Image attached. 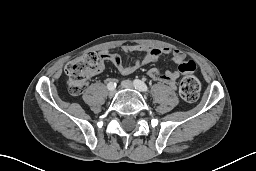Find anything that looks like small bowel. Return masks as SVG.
<instances>
[{"label":"small bowel","mask_w":256,"mask_h":171,"mask_svg":"<svg viewBox=\"0 0 256 171\" xmlns=\"http://www.w3.org/2000/svg\"><path fill=\"white\" fill-rule=\"evenodd\" d=\"M122 50L125 53H142L143 57L137 58L130 65H124L121 58L116 54H110L108 51L104 50L101 51L99 55L103 63H112L122 74L133 73L144 65L156 62L160 56L167 55L173 62L178 64L179 67L177 70L160 71L158 69H150L147 74L151 79L164 83L172 89H176L177 81L182 75L180 66L185 61V54L183 52L168 47L146 46L140 44H125L122 46ZM102 67L103 64L97 71H100Z\"/></svg>","instance_id":"c3829d8e"}]
</instances>
